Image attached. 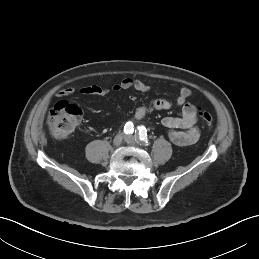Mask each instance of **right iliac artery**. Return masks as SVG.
I'll return each instance as SVG.
<instances>
[{
    "mask_svg": "<svg viewBox=\"0 0 259 259\" xmlns=\"http://www.w3.org/2000/svg\"><path fill=\"white\" fill-rule=\"evenodd\" d=\"M134 132V125L132 122H127L124 126V133L125 134H132Z\"/></svg>",
    "mask_w": 259,
    "mask_h": 259,
    "instance_id": "1",
    "label": "right iliac artery"
}]
</instances>
